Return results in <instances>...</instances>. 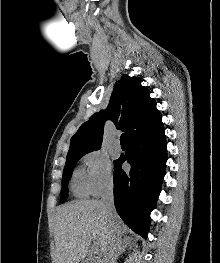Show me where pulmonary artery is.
I'll return each mask as SVG.
<instances>
[{
    "label": "pulmonary artery",
    "mask_w": 220,
    "mask_h": 263,
    "mask_svg": "<svg viewBox=\"0 0 220 263\" xmlns=\"http://www.w3.org/2000/svg\"><path fill=\"white\" fill-rule=\"evenodd\" d=\"M115 148H117V149H120V148H121V143H120L119 138L116 139V141H115Z\"/></svg>",
    "instance_id": "1"
}]
</instances>
